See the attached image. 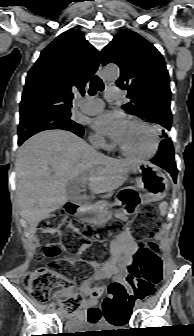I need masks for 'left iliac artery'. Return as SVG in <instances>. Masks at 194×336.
Segmentation results:
<instances>
[{
	"label": "left iliac artery",
	"instance_id": "1",
	"mask_svg": "<svg viewBox=\"0 0 194 336\" xmlns=\"http://www.w3.org/2000/svg\"><path fill=\"white\" fill-rule=\"evenodd\" d=\"M136 304H139V305H140V304H141V301H140V300L136 301Z\"/></svg>",
	"mask_w": 194,
	"mask_h": 336
}]
</instances>
